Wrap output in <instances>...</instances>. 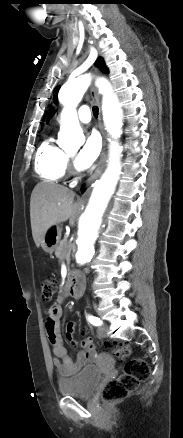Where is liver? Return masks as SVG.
Returning a JSON list of instances; mask_svg holds the SVG:
<instances>
[{
    "label": "liver",
    "instance_id": "liver-1",
    "mask_svg": "<svg viewBox=\"0 0 183 438\" xmlns=\"http://www.w3.org/2000/svg\"><path fill=\"white\" fill-rule=\"evenodd\" d=\"M75 193L66 187L41 182L31 194L30 218L32 236L40 246L46 231L53 225L69 220L74 225L76 216Z\"/></svg>",
    "mask_w": 183,
    "mask_h": 438
}]
</instances>
